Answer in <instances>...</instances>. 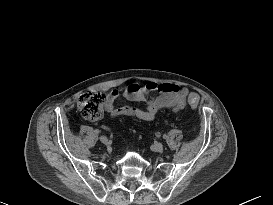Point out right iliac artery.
<instances>
[{
  "label": "right iliac artery",
  "instance_id": "82829eb1",
  "mask_svg": "<svg viewBox=\"0 0 273 205\" xmlns=\"http://www.w3.org/2000/svg\"><path fill=\"white\" fill-rule=\"evenodd\" d=\"M96 133H99L100 131L99 130H95Z\"/></svg>",
  "mask_w": 273,
  "mask_h": 205
}]
</instances>
